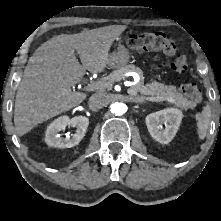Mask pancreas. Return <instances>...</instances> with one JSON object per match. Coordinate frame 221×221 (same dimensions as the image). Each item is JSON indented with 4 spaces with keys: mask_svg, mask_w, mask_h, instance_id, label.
Returning <instances> with one entry per match:
<instances>
[{
    "mask_svg": "<svg viewBox=\"0 0 221 221\" xmlns=\"http://www.w3.org/2000/svg\"><path fill=\"white\" fill-rule=\"evenodd\" d=\"M131 71L138 73V75L140 76V80L130 88L135 95H137V93H140V95H138L139 98L148 99L150 98L149 96L162 97L163 99L168 98L171 100L172 103L175 104V106L183 110H187L189 108L190 104L188 99L183 97L181 93L177 92L174 86H166L159 82H152L145 85L143 81L142 71L140 70V68L134 65H126L124 67H121L112 72L107 77L103 78L102 82L105 84L103 89H111L115 81H120L124 79V75L127 72Z\"/></svg>",
    "mask_w": 221,
    "mask_h": 221,
    "instance_id": "cf45deb5",
    "label": "pancreas"
}]
</instances>
